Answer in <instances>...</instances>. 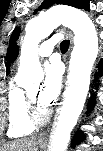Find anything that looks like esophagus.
I'll return each mask as SVG.
<instances>
[{
  "instance_id": "esophagus-1",
  "label": "esophagus",
  "mask_w": 103,
  "mask_h": 151,
  "mask_svg": "<svg viewBox=\"0 0 103 151\" xmlns=\"http://www.w3.org/2000/svg\"><path fill=\"white\" fill-rule=\"evenodd\" d=\"M68 36H69L70 41H71L70 49H69V50H71L72 45H73V35H72V33H71L70 31L68 32ZM65 63L68 64V58H67V56H66V58H65ZM46 138H47V134H46V133H42V134H40V136L38 137V141H39V142H43V141L46 140Z\"/></svg>"
}]
</instances>
